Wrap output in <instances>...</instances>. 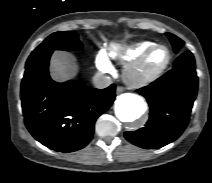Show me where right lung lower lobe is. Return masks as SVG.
Returning <instances> with one entry per match:
<instances>
[{"instance_id":"right-lung-lower-lobe-1","label":"right lung lower lobe","mask_w":212,"mask_h":183,"mask_svg":"<svg viewBox=\"0 0 212 183\" xmlns=\"http://www.w3.org/2000/svg\"><path fill=\"white\" fill-rule=\"evenodd\" d=\"M53 51L32 53L21 83L25 124L33 137L60 152L84 148L92 139L96 119L115 100V85L90 88L77 81L54 82L48 73Z\"/></svg>"}]
</instances>
